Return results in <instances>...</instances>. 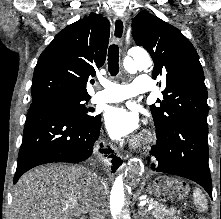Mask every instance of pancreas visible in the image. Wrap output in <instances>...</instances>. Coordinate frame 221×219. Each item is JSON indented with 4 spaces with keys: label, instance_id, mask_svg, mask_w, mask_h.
<instances>
[{
    "label": "pancreas",
    "instance_id": "pancreas-1",
    "mask_svg": "<svg viewBox=\"0 0 221 219\" xmlns=\"http://www.w3.org/2000/svg\"><path fill=\"white\" fill-rule=\"evenodd\" d=\"M150 204L153 205V211L151 214L155 219H181L179 217L181 212L176 208L167 209L164 205L153 200L150 201Z\"/></svg>",
    "mask_w": 221,
    "mask_h": 219
}]
</instances>
